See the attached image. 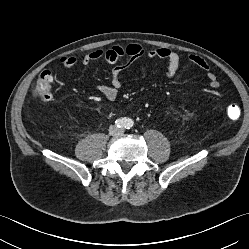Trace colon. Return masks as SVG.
<instances>
[{
    "mask_svg": "<svg viewBox=\"0 0 249 249\" xmlns=\"http://www.w3.org/2000/svg\"><path fill=\"white\" fill-rule=\"evenodd\" d=\"M52 84V73L49 70L42 71L33 84V95L39 100L50 101L52 99ZM229 115L232 118H237L240 115L238 107L231 105L229 107Z\"/></svg>",
    "mask_w": 249,
    "mask_h": 249,
    "instance_id": "colon-1",
    "label": "colon"
}]
</instances>
